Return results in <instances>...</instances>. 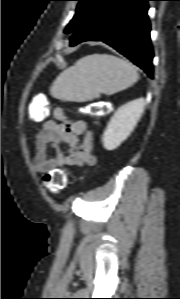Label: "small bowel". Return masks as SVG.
Wrapping results in <instances>:
<instances>
[{
  "instance_id": "1",
  "label": "small bowel",
  "mask_w": 180,
  "mask_h": 299,
  "mask_svg": "<svg viewBox=\"0 0 180 299\" xmlns=\"http://www.w3.org/2000/svg\"><path fill=\"white\" fill-rule=\"evenodd\" d=\"M32 120L41 122L35 135L36 153L33 160L37 173H50L67 165L84 168L97 163L93 134L84 120L70 119L61 108L54 111L53 118L43 120L33 115ZM62 144L67 145L66 150L61 149Z\"/></svg>"
}]
</instances>
